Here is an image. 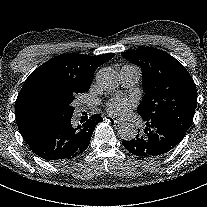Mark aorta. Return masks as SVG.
I'll return each instance as SVG.
<instances>
[{
    "mask_svg": "<svg viewBox=\"0 0 207 207\" xmlns=\"http://www.w3.org/2000/svg\"><path fill=\"white\" fill-rule=\"evenodd\" d=\"M96 81L98 86L107 92H112L119 86L117 72L107 67H103L97 72ZM118 134L122 140L130 141L137 136L138 129L134 124L126 122L118 128Z\"/></svg>",
    "mask_w": 207,
    "mask_h": 207,
    "instance_id": "aorta-1",
    "label": "aorta"
}]
</instances>
